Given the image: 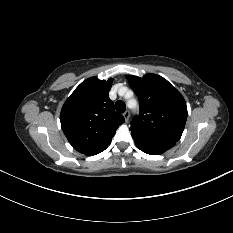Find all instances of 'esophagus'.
<instances>
[{
	"label": "esophagus",
	"instance_id": "obj_1",
	"mask_svg": "<svg viewBox=\"0 0 233 233\" xmlns=\"http://www.w3.org/2000/svg\"><path fill=\"white\" fill-rule=\"evenodd\" d=\"M123 117H124L125 121H128V120H129V117H130V112H129V111H125V112L123 113Z\"/></svg>",
	"mask_w": 233,
	"mask_h": 233
}]
</instances>
